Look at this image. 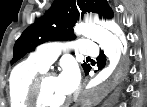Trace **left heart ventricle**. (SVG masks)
I'll return each mask as SVG.
<instances>
[{
  "mask_svg": "<svg viewBox=\"0 0 147 107\" xmlns=\"http://www.w3.org/2000/svg\"><path fill=\"white\" fill-rule=\"evenodd\" d=\"M67 98L68 96L60 89L57 77H51L44 82L42 99L45 103L55 105L67 100Z\"/></svg>",
  "mask_w": 147,
  "mask_h": 107,
  "instance_id": "obj_1",
  "label": "left heart ventricle"
}]
</instances>
